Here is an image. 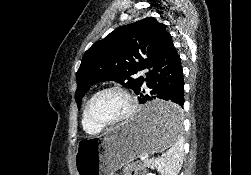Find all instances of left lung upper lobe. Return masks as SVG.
Returning a JSON list of instances; mask_svg holds the SVG:
<instances>
[{"instance_id":"1","label":"left lung upper lobe","mask_w":251,"mask_h":175,"mask_svg":"<svg viewBox=\"0 0 251 175\" xmlns=\"http://www.w3.org/2000/svg\"><path fill=\"white\" fill-rule=\"evenodd\" d=\"M169 37L163 23L147 17L121 26L95 42L85 52L76 73L78 108L88 89L101 81L114 80L136 92L144 80L137 72L150 68Z\"/></svg>"}]
</instances>
